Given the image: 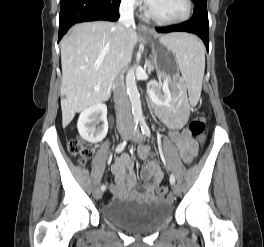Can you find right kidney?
<instances>
[{
    "mask_svg": "<svg viewBox=\"0 0 264 247\" xmlns=\"http://www.w3.org/2000/svg\"><path fill=\"white\" fill-rule=\"evenodd\" d=\"M77 128L85 141L90 143L102 141L108 132L107 107L104 104H96L83 110Z\"/></svg>",
    "mask_w": 264,
    "mask_h": 247,
    "instance_id": "obj_1",
    "label": "right kidney"
}]
</instances>
